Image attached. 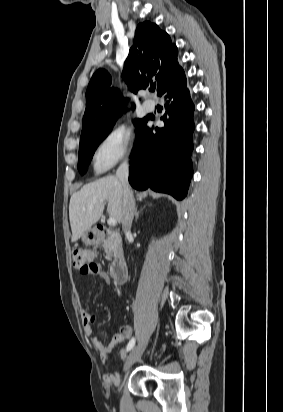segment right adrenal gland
<instances>
[{"label": "right adrenal gland", "mask_w": 283, "mask_h": 412, "mask_svg": "<svg viewBox=\"0 0 283 412\" xmlns=\"http://www.w3.org/2000/svg\"><path fill=\"white\" fill-rule=\"evenodd\" d=\"M139 211H138V209L137 208H135V221H137L138 220V218H139Z\"/></svg>", "instance_id": "right-adrenal-gland-1"}]
</instances>
